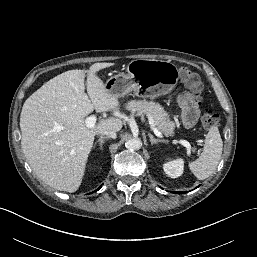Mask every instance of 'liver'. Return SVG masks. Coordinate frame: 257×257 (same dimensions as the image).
<instances>
[{
  "mask_svg": "<svg viewBox=\"0 0 257 257\" xmlns=\"http://www.w3.org/2000/svg\"><path fill=\"white\" fill-rule=\"evenodd\" d=\"M113 63H95L88 70H69L34 92L20 115L21 148L35 174L47 185L75 192L81 185L95 135L118 132L119 118L100 121L93 128L85 117L93 112L117 111L119 97L109 93L97 72ZM87 73V93L84 79Z\"/></svg>",
  "mask_w": 257,
  "mask_h": 257,
  "instance_id": "liver-1",
  "label": "liver"
}]
</instances>
